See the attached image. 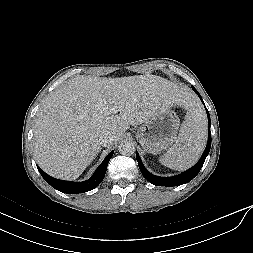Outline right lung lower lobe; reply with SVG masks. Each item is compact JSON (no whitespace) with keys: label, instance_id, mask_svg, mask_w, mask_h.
I'll return each instance as SVG.
<instances>
[{"label":"right lung lower lobe","instance_id":"1","mask_svg":"<svg viewBox=\"0 0 253 253\" xmlns=\"http://www.w3.org/2000/svg\"><path fill=\"white\" fill-rule=\"evenodd\" d=\"M113 153L114 151L110 152L107 155V157L103 160V162L100 164V166L97 168L93 176L90 179L83 182H70L59 180L49 176L41 168L39 167L37 168L42 177L44 178V180L56 190L68 194L84 193L94 189L101 183V181L105 176L109 160L113 156Z\"/></svg>","mask_w":253,"mask_h":253}]
</instances>
